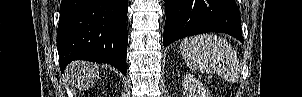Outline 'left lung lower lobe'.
<instances>
[{"instance_id":"1","label":"left lung lower lobe","mask_w":302,"mask_h":97,"mask_svg":"<svg viewBox=\"0 0 302 97\" xmlns=\"http://www.w3.org/2000/svg\"><path fill=\"white\" fill-rule=\"evenodd\" d=\"M163 45L203 32L227 33L244 43L235 0H164Z\"/></svg>"}]
</instances>
